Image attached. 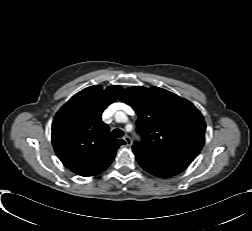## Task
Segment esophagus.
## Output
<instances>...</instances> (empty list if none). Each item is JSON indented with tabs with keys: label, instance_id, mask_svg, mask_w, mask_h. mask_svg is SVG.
<instances>
[{
	"label": "esophagus",
	"instance_id": "obj_1",
	"mask_svg": "<svg viewBox=\"0 0 252 231\" xmlns=\"http://www.w3.org/2000/svg\"><path fill=\"white\" fill-rule=\"evenodd\" d=\"M123 139H124V141L126 142V145H127V146H130V145L132 144V140H131V138H130L128 135H125V136L123 137Z\"/></svg>",
	"mask_w": 252,
	"mask_h": 231
}]
</instances>
